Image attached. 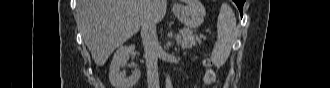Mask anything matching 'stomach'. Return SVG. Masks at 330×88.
<instances>
[{"label":"stomach","mask_w":330,"mask_h":88,"mask_svg":"<svg viewBox=\"0 0 330 88\" xmlns=\"http://www.w3.org/2000/svg\"><path fill=\"white\" fill-rule=\"evenodd\" d=\"M173 12L178 20L189 29L198 28L206 16L205 8L198 0H190L186 5H175Z\"/></svg>","instance_id":"stomach-1"}]
</instances>
